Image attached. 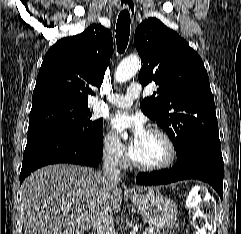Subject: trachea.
<instances>
[{"mask_svg": "<svg viewBox=\"0 0 241 234\" xmlns=\"http://www.w3.org/2000/svg\"><path fill=\"white\" fill-rule=\"evenodd\" d=\"M130 13L127 9L120 12L116 24V43L119 53H123L127 47L130 36Z\"/></svg>", "mask_w": 241, "mask_h": 234, "instance_id": "1", "label": "trachea"}]
</instances>
